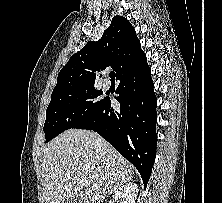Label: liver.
<instances>
[{
	"mask_svg": "<svg viewBox=\"0 0 222 203\" xmlns=\"http://www.w3.org/2000/svg\"><path fill=\"white\" fill-rule=\"evenodd\" d=\"M42 169L46 203H101L134 174L108 142L99 143L97 134L81 129H69L47 144Z\"/></svg>",
	"mask_w": 222,
	"mask_h": 203,
	"instance_id": "liver-1",
	"label": "liver"
}]
</instances>
